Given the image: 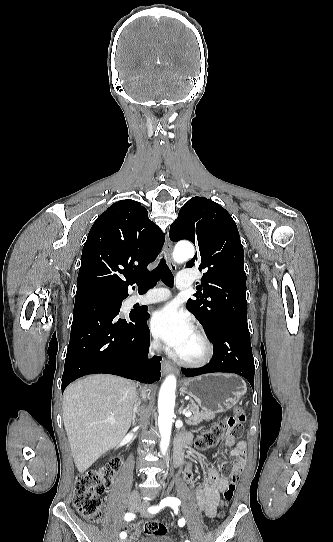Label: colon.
I'll list each match as a JSON object with an SVG mask.
<instances>
[{"instance_id":"5ec220e1","label":"colon","mask_w":333,"mask_h":542,"mask_svg":"<svg viewBox=\"0 0 333 542\" xmlns=\"http://www.w3.org/2000/svg\"><path fill=\"white\" fill-rule=\"evenodd\" d=\"M245 419L244 411L236 409L232 415L223 417L209 430L199 435L196 446L201 450H206L215 447L222 439H239L243 433ZM118 468V461H112L107 469L76 476L72 502L74 507L89 521L97 522L101 518L103 495L113 477V471ZM243 468L244 459L241 455H236L232 461H227L223 465V472L229 478L230 483L222 493V507L218 512L220 519L224 518L225 508L233 498ZM143 532L147 536H164L166 527L158 520H149L144 523Z\"/></svg>"}]
</instances>
